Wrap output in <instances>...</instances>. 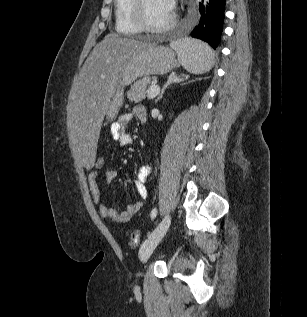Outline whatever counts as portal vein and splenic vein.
Returning <instances> with one entry per match:
<instances>
[{
	"label": "portal vein and splenic vein",
	"mask_w": 307,
	"mask_h": 317,
	"mask_svg": "<svg viewBox=\"0 0 307 317\" xmlns=\"http://www.w3.org/2000/svg\"><path fill=\"white\" fill-rule=\"evenodd\" d=\"M160 92V87L153 83L147 90V97L153 99Z\"/></svg>",
	"instance_id": "portal-vein-and-splenic-vein-1"
}]
</instances>
